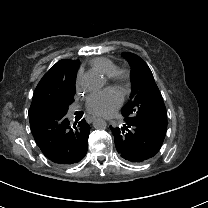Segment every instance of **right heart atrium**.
<instances>
[{
	"label": "right heart atrium",
	"instance_id": "d8ad5b80",
	"mask_svg": "<svg viewBox=\"0 0 208 208\" xmlns=\"http://www.w3.org/2000/svg\"><path fill=\"white\" fill-rule=\"evenodd\" d=\"M74 88H75L77 93L84 92L82 71H78V73L76 74V77H75V80H74Z\"/></svg>",
	"mask_w": 208,
	"mask_h": 208
}]
</instances>
